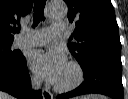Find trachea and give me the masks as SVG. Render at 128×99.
<instances>
[{
	"instance_id": "3493384b",
	"label": "trachea",
	"mask_w": 128,
	"mask_h": 99,
	"mask_svg": "<svg viewBox=\"0 0 128 99\" xmlns=\"http://www.w3.org/2000/svg\"><path fill=\"white\" fill-rule=\"evenodd\" d=\"M46 5V0H35L34 2V17H33V27L37 26L40 21L44 20V7Z\"/></svg>"
}]
</instances>
